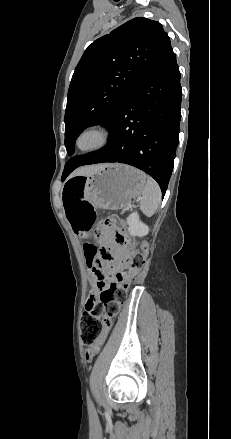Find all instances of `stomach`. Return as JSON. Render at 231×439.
Segmentation results:
<instances>
[{
    "mask_svg": "<svg viewBox=\"0 0 231 439\" xmlns=\"http://www.w3.org/2000/svg\"><path fill=\"white\" fill-rule=\"evenodd\" d=\"M81 177H84L83 198L96 208L109 210L126 207L146 185V175L142 171L124 164H107Z\"/></svg>",
    "mask_w": 231,
    "mask_h": 439,
    "instance_id": "0dacf381",
    "label": "stomach"
}]
</instances>
